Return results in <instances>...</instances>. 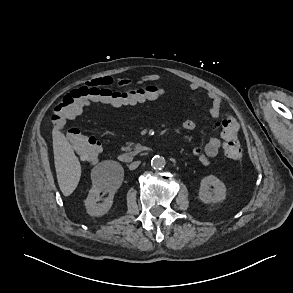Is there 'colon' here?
<instances>
[{"label": "colon", "instance_id": "1", "mask_svg": "<svg viewBox=\"0 0 293 293\" xmlns=\"http://www.w3.org/2000/svg\"><path fill=\"white\" fill-rule=\"evenodd\" d=\"M152 87L115 89L110 83L96 82L82 86L65 94L55 105L53 110V124L62 128L67 120L75 118L90 103L124 104L152 96ZM238 122L233 117H227L222 122L223 150L227 157L239 159L242 148L238 140ZM67 138L80 158L88 163L98 160L101 146L98 140L79 128H69Z\"/></svg>", "mask_w": 293, "mask_h": 293}]
</instances>
